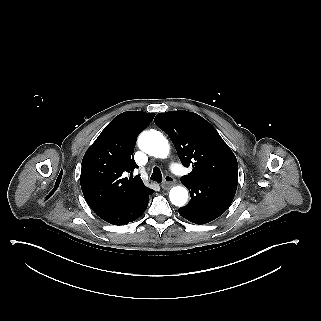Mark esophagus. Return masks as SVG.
I'll return each instance as SVG.
<instances>
[{
    "label": "esophagus",
    "mask_w": 321,
    "mask_h": 321,
    "mask_svg": "<svg viewBox=\"0 0 321 321\" xmlns=\"http://www.w3.org/2000/svg\"><path fill=\"white\" fill-rule=\"evenodd\" d=\"M174 186V178L172 176H165V181L161 184L162 189L169 190Z\"/></svg>",
    "instance_id": "34e87169"
}]
</instances>
